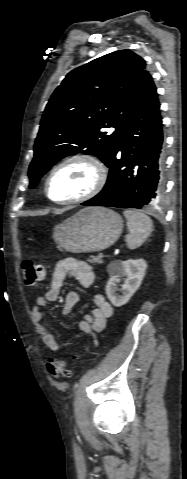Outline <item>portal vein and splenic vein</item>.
<instances>
[{
	"mask_svg": "<svg viewBox=\"0 0 187 479\" xmlns=\"http://www.w3.org/2000/svg\"><path fill=\"white\" fill-rule=\"evenodd\" d=\"M99 257L103 258L104 257V254L101 252L99 253Z\"/></svg>",
	"mask_w": 187,
	"mask_h": 479,
	"instance_id": "18ae733b",
	"label": "portal vein and splenic vein"
}]
</instances>
